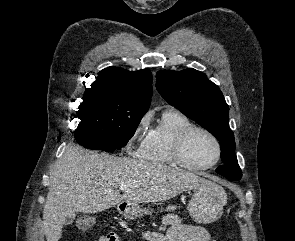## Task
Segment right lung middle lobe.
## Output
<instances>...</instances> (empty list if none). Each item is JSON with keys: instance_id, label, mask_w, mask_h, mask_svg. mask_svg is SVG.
<instances>
[{"instance_id": "1", "label": "right lung middle lobe", "mask_w": 295, "mask_h": 241, "mask_svg": "<svg viewBox=\"0 0 295 241\" xmlns=\"http://www.w3.org/2000/svg\"><path fill=\"white\" fill-rule=\"evenodd\" d=\"M146 111L108 94L89 93L77 111L74 137L88 149L114 151L132 138Z\"/></svg>"}]
</instances>
